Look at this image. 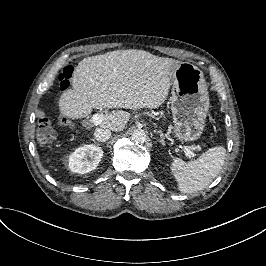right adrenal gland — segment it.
Here are the masks:
<instances>
[{"label": "right adrenal gland", "mask_w": 266, "mask_h": 266, "mask_svg": "<svg viewBox=\"0 0 266 266\" xmlns=\"http://www.w3.org/2000/svg\"><path fill=\"white\" fill-rule=\"evenodd\" d=\"M92 142L94 143V144H96V145H101V143H99V142H96V140H94V139H92Z\"/></svg>", "instance_id": "1"}]
</instances>
